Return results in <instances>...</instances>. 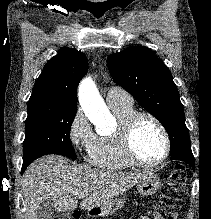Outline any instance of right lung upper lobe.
Instances as JSON below:
<instances>
[{"label":"right lung upper lobe","instance_id":"cb5924a9","mask_svg":"<svg viewBox=\"0 0 211 219\" xmlns=\"http://www.w3.org/2000/svg\"><path fill=\"white\" fill-rule=\"evenodd\" d=\"M87 70L84 53L62 47L44 66L28 104L49 103L57 108L77 110V86Z\"/></svg>","mask_w":211,"mask_h":219}]
</instances>
